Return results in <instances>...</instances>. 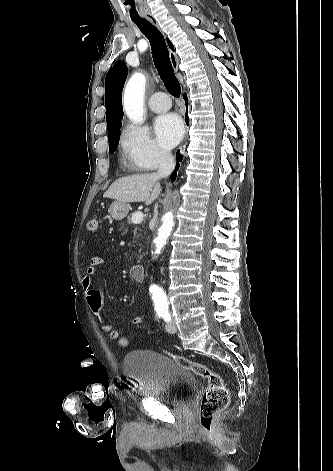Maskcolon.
I'll return each instance as SVG.
<instances>
[{
    "mask_svg": "<svg viewBox=\"0 0 333 471\" xmlns=\"http://www.w3.org/2000/svg\"><path fill=\"white\" fill-rule=\"evenodd\" d=\"M99 222L96 218L88 221L87 228L91 232L97 231ZM119 347L125 348L129 341L121 335L115 340ZM180 367L189 370L194 375L206 379L208 386L203 394L199 419L203 432L211 433L215 423L216 416L224 410L229 404V391L220 374L210 370L206 365L192 361L184 356L176 354H167Z\"/></svg>",
    "mask_w": 333,
    "mask_h": 471,
    "instance_id": "1",
    "label": "colon"
}]
</instances>
